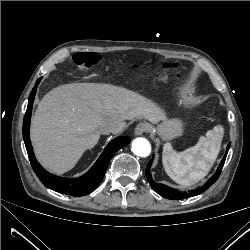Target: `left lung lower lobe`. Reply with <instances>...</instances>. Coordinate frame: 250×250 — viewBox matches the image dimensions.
Listing matches in <instances>:
<instances>
[{"mask_svg": "<svg viewBox=\"0 0 250 250\" xmlns=\"http://www.w3.org/2000/svg\"><path fill=\"white\" fill-rule=\"evenodd\" d=\"M230 148V143L228 144L227 148H226V153L219 165V167L217 168L216 173L201 187L193 189V190H189L188 192H182L179 191L177 189H173L170 188L164 184H159L153 181L151 173H150V166L152 161L148 164V166L146 167V177L149 181V184L151 185V187L161 196L167 198V199H171V200H179V199H184V198H189V197H193L196 196L198 194L203 193L204 191H206L212 184H214L216 182V180L218 179L222 167L224 165L228 150Z\"/></svg>", "mask_w": 250, "mask_h": 250, "instance_id": "left-lung-lower-lobe-1", "label": "left lung lower lobe"}]
</instances>
